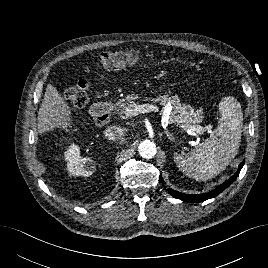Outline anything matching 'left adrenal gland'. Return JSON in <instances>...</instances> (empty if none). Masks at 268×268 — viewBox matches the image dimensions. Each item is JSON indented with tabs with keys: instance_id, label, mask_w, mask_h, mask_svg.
<instances>
[{
	"instance_id": "a2214340",
	"label": "left adrenal gland",
	"mask_w": 268,
	"mask_h": 268,
	"mask_svg": "<svg viewBox=\"0 0 268 268\" xmlns=\"http://www.w3.org/2000/svg\"><path fill=\"white\" fill-rule=\"evenodd\" d=\"M166 136L168 137V139H170L171 141H175L176 139L173 137V135L171 133H169L168 131H165Z\"/></svg>"
}]
</instances>
